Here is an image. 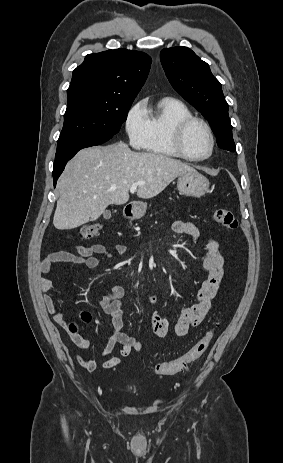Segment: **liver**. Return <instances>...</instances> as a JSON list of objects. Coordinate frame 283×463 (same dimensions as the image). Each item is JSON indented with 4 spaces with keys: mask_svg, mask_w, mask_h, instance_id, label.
Here are the masks:
<instances>
[{
    "mask_svg": "<svg viewBox=\"0 0 283 463\" xmlns=\"http://www.w3.org/2000/svg\"><path fill=\"white\" fill-rule=\"evenodd\" d=\"M195 171L164 155L133 152L123 142L82 149L58 179L53 224L58 230L77 228L97 220L108 205L127 203L135 182H144L138 186L137 196L150 199L176 177Z\"/></svg>",
    "mask_w": 283,
    "mask_h": 463,
    "instance_id": "1",
    "label": "liver"
}]
</instances>
